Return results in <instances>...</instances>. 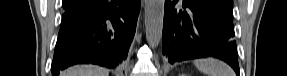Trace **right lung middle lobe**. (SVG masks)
I'll use <instances>...</instances> for the list:
<instances>
[{"instance_id": "right-lung-middle-lobe-1", "label": "right lung middle lobe", "mask_w": 287, "mask_h": 76, "mask_svg": "<svg viewBox=\"0 0 287 76\" xmlns=\"http://www.w3.org/2000/svg\"><path fill=\"white\" fill-rule=\"evenodd\" d=\"M82 0H63V8L66 11L76 7L78 4H80Z\"/></svg>"}]
</instances>
